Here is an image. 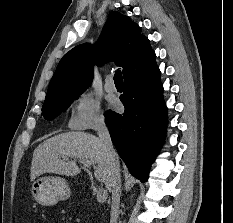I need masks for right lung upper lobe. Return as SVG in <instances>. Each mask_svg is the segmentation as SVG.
<instances>
[{"instance_id":"1","label":"right lung upper lobe","mask_w":233,"mask_h":223,"mask_svg":"<svg viewBox=\"0 0 233 223\" xmlns=\"http://www.w3.org/2000/svg\"><path fill=\"white\" fill-rule=\"evenodd\" d=\"M155 52L140 27L129 17L113 11L95 46L81 44L67 52L52 77L44 105L85 91L93 78V61L114 60L124 79L155 63Z\"/></svg>"}]
</instances>
